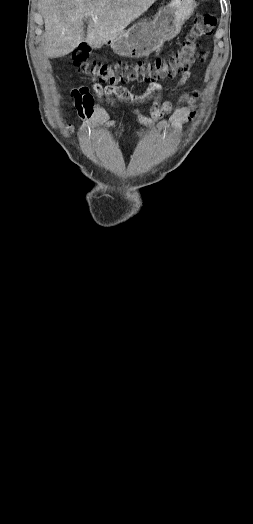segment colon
<instances>
[{"label": "colon", "instance_id": "5ec220e1", "mask_svg": "<svg viewBox=\"0 0 253 524\" xmlns=\"http://www.w3.org/2000/svg\"><path fill=\"white\" fill-rule=\"evenodd\" d=\"M216 19L212 14L198 17L186 33L180 47L167 58L140 62H117L111 65L99 64L88 59L87 45L77 48L72 55L74 66L94 82V89H111L117 83L131 81L155 82L172 78L178 72L186 71L198 56L196 46L199 39L213 33ZM78 90V89H77ZM92 100L81 101L78 106L81 115L89 116ZM71 125L69 129H71Z\"/></svg>", "mask_w": 253, "mask_h": 524}]
</instances>
